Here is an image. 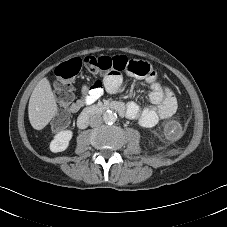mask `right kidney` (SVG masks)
<instances>
[{
  "mask_svg": "<svg viewBox=\"0 0 227 227\" xmlns=\"http://www.w3.org/2000/svg\"><path fill=\"white\" fill-rule=\"evenodd\" d=\"M72 135L73 133L71 130H64L57 133L50 143V150L54 153L66 150Z\"/></svg>",
  "mask_w": 227,
  "mask_h": 227,
  "instance_id": "right-kidney-1",
  "label": "right kidney"
}]
</instances>
